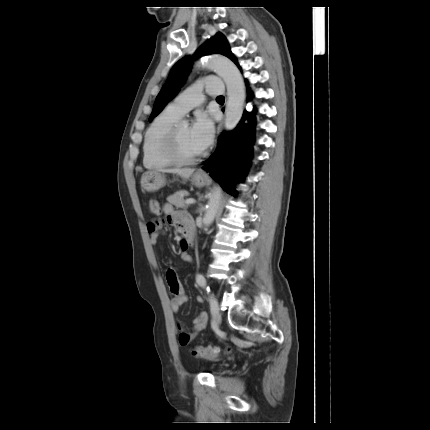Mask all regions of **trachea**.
<instances>
[{
	"label": "trachea",
	"instance_id": "3493384b",
	"mask_svg": "<svg viewBox=\"0 0 430 430\" xmlns=\"http://www.w3.org/2000/svg\"><path fill=\"white\" fill-rule=\"evenodd\" d=\"M217 100H224V96H218Z\"/></svg>",
	"mask_w": 430,
	"mask_h": 430
}]
</instances>
